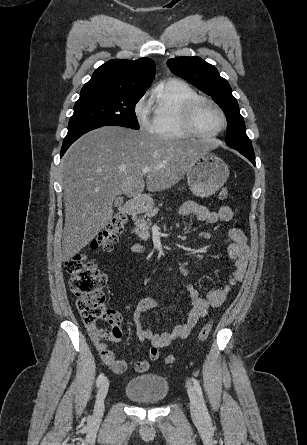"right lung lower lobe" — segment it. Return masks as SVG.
<instances>
[{"mask_svg":"<svg viewBox=\"0 0 307 445\" xmlns=\"http://www.w3.org/2000/svg\"><path fill=\"white\" fill-rule=\"evenodd\" d=\"M99 127H102V126H88V127L76 130L74 132L68 133L63 141L60 156L62 157L64 155V153L66 152V150L69 148V146L74 141H76L80 136H82L83 134H85L93 129L99 128Z\"/></svg>","mask_w":307,"mask_h":445,"instance_id":"right-lung-lower-lobe-1","label":"right lung lower lobe"}]
</instances>
